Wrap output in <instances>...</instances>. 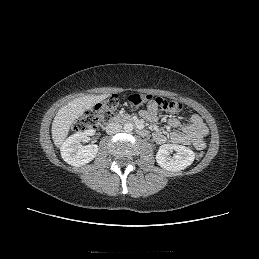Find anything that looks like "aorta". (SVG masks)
<instances>
[{
	"mask_svg": "<svg viewBox=\"0 0 259 259\" xmlns=\"http://www.w3.org/2000/svg\"><path fill=\"white\" fill-rule=\"evenodd\" d=\"M123 128L124 131L128 133L133 131V125L131 123H125Z\"/></svg>",
	"mask_w": 259,
	"mask_h": 259,
	"instance_id": "obj_1",
	"label": "aorta"
}]
</instances>
